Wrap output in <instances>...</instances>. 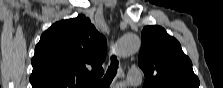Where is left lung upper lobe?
Returning a JSON list of instances; mask_svg holds the SVG:
<instances>
[{"label": "left lung upper lobe", "instance_id": "1", "mask_svg": "<svg viewBox=\"0 0 223 88\" xmlns=\"http://www.w3.org/2000/svg\"><path fill=\"white\" fill-rule=\"evenodd\" d=\"M138 65L145 75L143 88H199L192 62L180 43L160 26L142 30Z\"/></svg>", "mask_w": 223, "mask_h": 88}]
</instances>
